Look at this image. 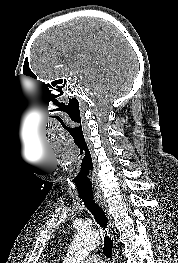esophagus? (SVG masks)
Wrapping results in <instances>:
<instances>
[{
  "label": "esophagus",
  "mask_w": 178,
  "mask_h": 263,
  "mask_svg": "<svg viewBox=\"0 0 178 263\" xmlns=\"http://www.w3.org/2000/svg\"><path fill=\"white\" fill-rule=\"evenodd\" d=\"M95 200L101 206V208L103 209V211L105 212L108 218L110 234L113 239L114 245L117 246V231L115 229L112 216L109 212L108 204L103 196H96ZM112 260H113V263H116V261H118V252L116 251L113 252Z\"/></svg>",
  "instance_id": "34e87169"
}]
</instances>
